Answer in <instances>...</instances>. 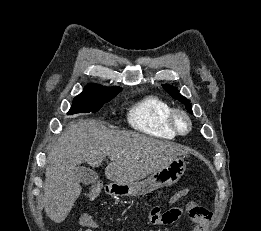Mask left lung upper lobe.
I'll list each match as a JSON object with an SVG mask.
<instances>
[{
    "label": "left lung upper lobe",
    "instance_id": "obj_1",
    "mask_svg": "<svg viewBox=\"0 0 261 231\" xmlns=\"http://www.w3.org/2000/svg\"><path fill=\"white\" fill-rule=\"evenodd\" d=\"M164 89L176 100L182 102L186 109L192 114L190 101L186 99L184 96L180 95L179 91H177L174 87L169 85H164Z\"/></svg>",
    "mask_w": 261,
    "mask_h": 231
}]
</instances>
